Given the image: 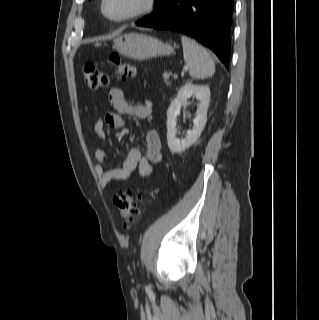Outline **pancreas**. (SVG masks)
<instances>
[{
	"label": "pancreas",
	"instance_id": "pancreas-1",
	"mask_svg": "<svg viewBox=\"0 0 319 320\" xmlns=\"http://www.w3.org/2000/svg\"><path fill=\"white\" fill-rule=\"evenodd\" d=\"M163 80H164V82H165L166 85H169L168 79H166V78L163 77Z\"/></svg>",
	"mask_w": 319,
	"mask_h": 320
}]
</instances>
